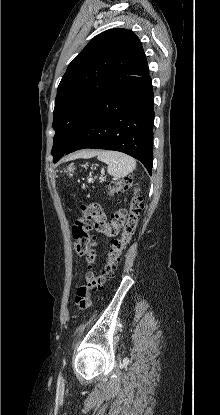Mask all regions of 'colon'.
I'll return each mask as SVG.
<instances>
[{
  "label": "colon",
  "mask_w": 220,
  "mask_h": 415,
  "mask_svg": "<svg viewBox=\"0 0 220 415\" xmlns=\"http://www.w3.org/2000/svg\"><path fill=\"white\" fill-rule=\"evenodd\" d=\"M136 185L137 183L129 177L112 181L108 184L109 194H119ZM142 205L141 197L136 196L132 200L129 211L118 209L110 219H107L101 206L97 203L81 206V214L72 226L75 255L79 258H85L87 262L86 283L78 284L73 296L74 304L80 311H86L90 308V291L100 289L106 279L113 274L123 251L135 233ZM93 229L112 240L107 253V261L99 275H95L91 270L96 257L95 242L91 234Z\"/></svg>",
  "instance_id": "colon-1"
}]
</instances>
